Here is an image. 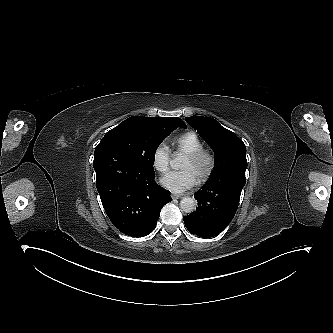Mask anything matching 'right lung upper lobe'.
I'll return each instance as SVG.
<instances>
[{
  "label": "right lung upper lobe",
  "instance_id": "cb5924a9",
  "mask_svg": "<svg viewBox=\"0 0 333 333\" xmlns=\"http://www.w3.org/2000/svg\"><path fill=\"white\" fill-rule=\"evenodd\" d=\"M134 117H141V116H133L130 118H134ZM147 118H152V119H158V120H162V121H167L173 124H177L183 127H187L186 124L178 117H147Z\"/></svg>",
  "mask_w": 333,
  "mask_h": 333
}]
</instances>
